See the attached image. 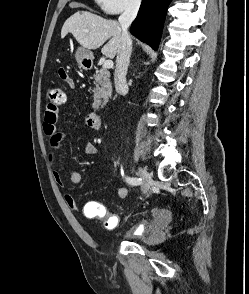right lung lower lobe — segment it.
<instances>
[{
  "mask_svg": "<svg viewBox=\"0 0 249 294\" xmlns=\"http://www.w3.org/2000/svg\"><path fill=\"white\" fill-rule=\"evenodd\" d=\"M171 0H143L130 32L157 50L166 10Z\"/></svg>",
  "mask_w": 249,
  "mask_h": 294,
  "instance_id": "1",
  "label": "right lung lower lobe"
}]
</instances>
